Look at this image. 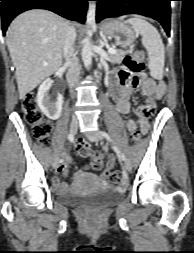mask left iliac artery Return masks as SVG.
<instances>
[{"instance_id":"obj_1","label":"left iliac artery","mask_w":194,"mask_h":253,"mask_svg":"<svg viewBox=\"0 0 194 253\" xmlns=\"http://www.w3.org/2000/svg\"><path fill=\"white\" fill-rule=\"evenodd\" d=\"M100 134H101L106 140H108V141L114 143L113 140H112V138L110 137V135H109L107 132L101 131ZM113 149H114L115 152L117 153L118 158H119L120 160H122V161H125V160H126L124 154L121 153V151L119 150V148H118L116 145L113 146Z\"/></svg>"}]
</instances>
